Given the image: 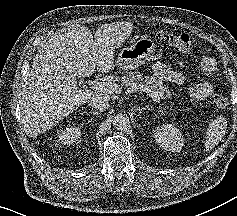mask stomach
Listing matches in <instances>:
<instances>
[{
  "label": "stomach",
  "instance_id": "1",
  "mask_svg": "<svg viewBox=\"0 0 237 216\" xmlns=\"http://www.w3.org/2000/svg\"><path fill=\"white\" fill-rule=\"evenodd\" d=\"M155 44L153 40L142 37L130 46L123 48L118 55L116 64L124 70L134 68L149 62L155 54Z\"/></svg>",
  "mask_w": 237,
  "mask_h": 216
}]
</instances>
